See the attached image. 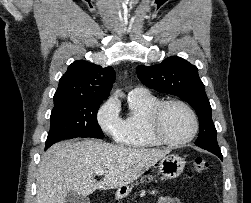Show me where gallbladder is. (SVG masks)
Wrapping results in <instances>:
<instances>
[{
  "instance_id": "bac80fb5",
  "label": "gallbladder",
  "mask_w": 251,
  "mask_h": 203,
  "mask_svg": "<svg viewBox=\"0 0 251 203\" xmlns=\"http://www.w3.org/2000/svg\"><path fill=\"white\" fill-rule=\"evenodd\" d=\"M65 203H90L88 197L81 196L75 192H70L65 197Z\"/></svg>"
}]
</instances>
